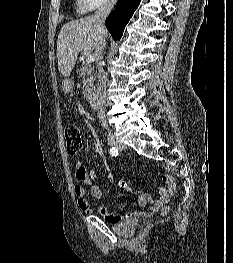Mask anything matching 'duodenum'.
I'll use <instances>...</instances> for the list:
<instances>
[{"label": "duodenum", "instance_id": "duodenum-1", "mask_svg": "<svg viewBox=\"0 0 233 263\" xmlns=\"http://www.w3.org/2000/svg\"><path fill=\"white\" fill-rule=\"evenodd\" d=\"M86 84L87 85L84 86V89L87 90V97L89 99L91 107L94 110H98V102H100V99L98 95H94V93H96L94 87L97 86V83L94 80H87Z\"/></svg>", "mask_w": 233, "mask_h": 263}]
</instances>
